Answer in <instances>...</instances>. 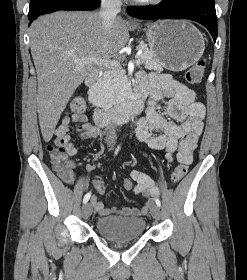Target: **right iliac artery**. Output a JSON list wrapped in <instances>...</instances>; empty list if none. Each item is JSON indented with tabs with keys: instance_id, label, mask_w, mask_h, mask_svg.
Returning <instances> with one entry per match:
<instances>
[{
	"instance_id": "right-iliac-artery-1",
	"label": "right iliac artery",
	"mask_w": 247,
	"mask_h": 280,
	"mask_svg": "<svg viewBox=\"0 0 247 280\" xmlns=\"http://www.w3.org/2000/svg\"><path fill=\"white\" fill-rule=\"evenodd\" d=\"M118 151H119V147L116 149L115 155L118 153ZM90 197H91V192L87 193V194L84 196V198H83V203L86 204V203L89 201Z\"/></svg>"
}]
</instances>
